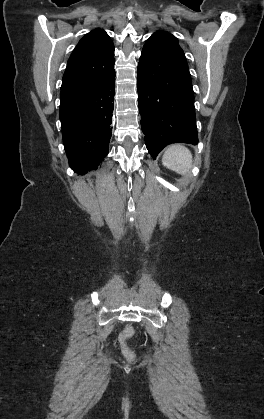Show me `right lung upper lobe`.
I'll list each match as a JSON object with an SVG mask.
<instances>
[{
    "label": "right lung upper lobe",
    "instance_id": "right-lung-upper-lobe-1",
    "mask_svg": "<svg viewBox=\"0 0 264 419\" xmlns=\"http://www.w3.org/2000/svg\"><path fill=\"white\" fill-rule=\"evenodd\" d=\"M114 71V44L107 33L95 29L86 34L71 54L61 90L106 80Z\"/></svg>",
    "mask_w": 264,
    "mask_h": 419
}]
</instances>
